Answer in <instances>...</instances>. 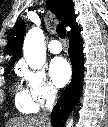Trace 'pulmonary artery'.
Here are the masks:
<instances>
[{
    "instance_id": "1",
    "label": "pulmonary artery",
    "mask_w": 108,
    "mask_h": 127,
    "mask_svg": "<svg viewBox=\"0 0 108 127\" xmlns=\"http://www.w3.org/2000/svg\"><path fill=\"white\" fill-rule=\"evenodd\" d=\"M48 49L53 54H58L62 51V45L58 40L50 41Z\"/></svg>"
}]
</instances>
